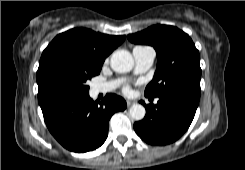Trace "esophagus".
<instances>
[{"instance_id":"34e87169","label":"esophagus","mask_w":245,"mask_h":170,"mask_svg":"<svg viewBox=\"0 0 245 170\" xmlns=\"http://www.w3.org/2000/svg\"><path fill=\"white\" fill-rule=\"evenodd\" d=\"M127 106L130 107L133 104V101L131 100H126Z\"/></svg>"}]
</instances>
